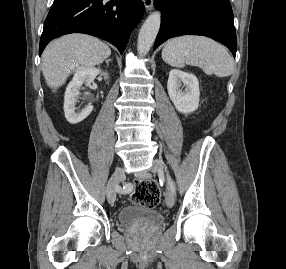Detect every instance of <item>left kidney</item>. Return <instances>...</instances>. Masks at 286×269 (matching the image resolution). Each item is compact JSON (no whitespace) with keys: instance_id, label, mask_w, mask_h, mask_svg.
<instances>
[{"instance_id":"left-kidney-1","label":"left kidney","mask_w":286,"mask_h":269,"mask_svg":"<svg viewBox=\"0 0 286 269\" xmlns=\"http://www.w3.org/2000/svg\"><path fill=\"white\" fill-rule=\"evenodd\" d=\"M182 85L185 86L182 91ZM168 95L177 111L188 114L199 107V82L195 75L177 69L169 73L167 83Z\"/></svg>"}]
</instances>
